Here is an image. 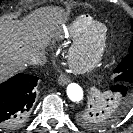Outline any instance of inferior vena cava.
Listing matches in <instances>:
<instances>
[{
    "label": "inferior vena cava",
    "mask_w": 133,
    "mask_h": 133,
    "mask_svg": "<svg viewBox=\"0 0 133 133\" xmlns=\"http://www.w3.org/2000/svg\"><path fill=\"white\" fill-rule=\"evenodd\" d=\"M46 62L47 57L41 50L33 52L28 58V63L30 65H44Z\"/></svg>",
    "instance_id": "obj_1"
}]
</instances>
